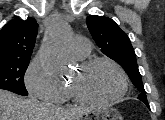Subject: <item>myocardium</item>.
<instances>
[{
    "label": "myocardium",
    "instance_id": "1",
    "mask_svg": "<svg viewBox=\"0 0 165 120\" xmlns=\"http://www.w3.org/2000/svg\"><path fill=\"white\" fill-rule=\"evenodd\" d=\"M100 64H107V65L112 66L114 69H116L122 81L121 90L112 97L105 98V99H98V98L90 97L89 95L84 93L78 85L71 84L70 90L77 101L82 102V103H89V104H110L122 99L126 95L128 91V87H129L128 76L126 72L124 71V69L122 68V66L118 64L116 61L109 58H105V57L91 58L86 61H83L79 66V70L82 73H86L91 68Z\"/></svg>",
    "mask_w": 165,
    "mask_h": 120
}]
</instances>
